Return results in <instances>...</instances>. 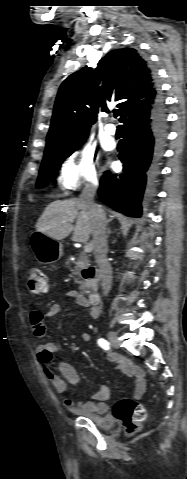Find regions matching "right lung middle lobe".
<instances>
[{
  "label": "right lung middle lobe",
  "instance_id": "dd1d6c3e",
  "mask_svg": "<svg viewBox=\"0 0 187 479\" xmlns=\"http://www.w3.org/2000/svg\"><path fill=\"white\" fill-rule=\"evenodd\" d=\"M86 138L87 136L70 146L54 148L45 151L37 181V188H43L48 185V183L55 176L56 172L59 170L65 158L77 150L84 143Z\"/></svg>",
  "mask_w": 187,
  "mask_h": 479
}]
</instances>
